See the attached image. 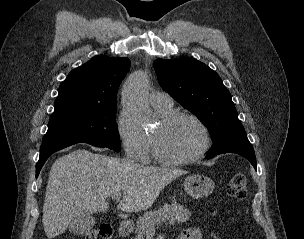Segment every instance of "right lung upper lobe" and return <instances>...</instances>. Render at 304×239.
<instances>
[{
  "mask_svg": "<svg viewBox=\"0 0 304 239\" xmlns=\"http://www.w3.org/2000/svg\"><path fill=\"white\" fill-rule=\"evenodd\" d=\"M129 68L128 58L94 57L60 84L54 112L116 105L119 85Z\"/></svg>",
  "mask_w": 304,
  "mask_h": 239,
  "instance_id": "obj_1",
  "label": "right lung upper lobe"
}]
</instances>
